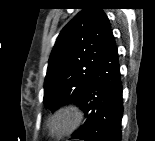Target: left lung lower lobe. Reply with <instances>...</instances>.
Masks as SVG:
<instances>
[{"instance_id":"0a47b994","label":"left lung lower lobe","mask_w":155,"mask_h":141,"mask_svg":"<svg viewBox=\"0 0 155 141\" xmlns=\"http://www.w3.org/2000/svg\"><path fill=\"white\" fill-rule=\"evenodd\" d=\"M86 121L72 135L84 141H121L122 82L113 38L106 47L81 101Z\"/></svg>"}]
</instances>
